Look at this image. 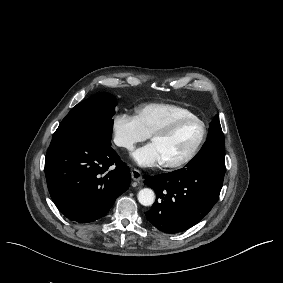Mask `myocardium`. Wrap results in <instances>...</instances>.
I'll return each instance as SVG.
<instances>
[{
    "mask_svg": "<svg viewBox=\"0 0 283 283\" xmlns=\"http://www.w3.org/2000/svg\"><path fill=\"white\" fill-rule=\"evenodd\" d=\"M187 121H196V122L200 123V125H201L200 137H199L197 143L195 144V146L193 147V149L190 151V153L184 159H182L178 162H166L165 166L167 168H170V169L183 168L186 165H188L189 163H191L196 158V156L198 155V153L202 149V147H203V145H204V143L207 139V135H208V128H207L205 121L202 118H200V117H198L194 114L183 115V116L176 118L166 128H164L163 130H161L159 132H156L151 137L152 140L155 139V138H169L175 133L177 128L182 123L187 122Z\"/></svg>",
    "mask_w": 283,
    "mask_h": 283,
    "instance_id": "f54148a6",
    "label": "myocardium"
}]
</instances>
